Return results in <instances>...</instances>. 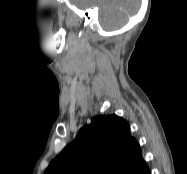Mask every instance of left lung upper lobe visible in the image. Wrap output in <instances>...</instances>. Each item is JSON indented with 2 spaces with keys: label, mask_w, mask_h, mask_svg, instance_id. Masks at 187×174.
<instances>
[{
  "label": "left lung upper lobe",
  "mask_w": 187,
  "mask_h": 174,
  "mask_svg": "<svg viewBox=\"0 0 187 174\" xmlns=\"http://www.w3.org/2000/svg\"><path fill=\"white\" fill-rule=\"evenodd\" d=\"M143 162L128 123L113 114L92 118L44 174H130Z\"/></svg>",
  "instance_id": "1"
}]
</instances>
